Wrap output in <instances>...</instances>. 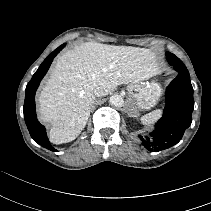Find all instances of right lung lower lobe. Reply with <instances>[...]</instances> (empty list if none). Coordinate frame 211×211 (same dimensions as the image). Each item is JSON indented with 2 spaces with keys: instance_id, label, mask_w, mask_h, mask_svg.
<instances>
[{
  "instance_id": "98d812e1",
  "label": "right lung lower lobe",
  "mask_w": 211,
  "mask_h": 211,
  "mask_svg": "<svg viewBox=\"0 0 211 211\" xmlns=\"http://www.w3.org/2000/svg\"><path fill=\"white\" fill-rule=\"evenodd\" d=\"M65 45L59 46L55 51H53L40 65L38 70L34 73L32 79L27 84L26 87V93H25V102H24V118L27 125V128L29 130V133L32 137V139L41 145L42 147H45L51 151H56V149L50 144L46 129L43 125L39 123L36 116L35 111V93L36 90L40 84V81L47 73L50 64L53 61V58L61 51V49Z\"/></svg>"
}]
</instances>
